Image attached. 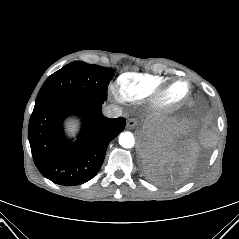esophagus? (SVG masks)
Here are the masks:
<instances>
[{"mask_svg":"<svg viewBox=\"0 0 239 239\" xmlns=\"http://www.w3.org/2000/svg\"><path fill=\"white\" fill-rule=\"evenodd\" d=\"M136 125H137V119H136V118H130V119H128V121H127V127H128L129 129L134 128Z\"/></svg>","mask_w":239,"mask_h":239,"instance_id":"1","label":"esophagus"}]
</instances>
